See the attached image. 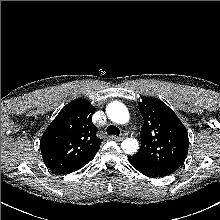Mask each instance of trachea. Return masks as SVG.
Wrapping results in <instances>:
<instances>
[{
	"instance_id": "trachea-1",
	"label": "trachea",
	"mask_w": 220,
	"mask_h": 220,
	"mask_svg": "<svg viewBox=\"0 0 220 220\" xmlns=\"http://www.w3.org/2000/svg\"><path fill=\"white\" fill-rule=\"evenodd\" d=\"M106 132H107L108 135L119 136V134H120L119 128L116 127V126H113V125L108 126Z\"/></svg>"
}]
</instances>
